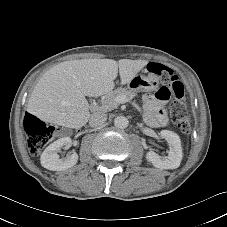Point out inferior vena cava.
Returning a JSON list of instances; mask_svg holds the SVG:
<instances>
[{"mask_svg":"<svg viewBox=\"0 0 227 227\" xmlns=\"http://www.w3.org/2000/svg\"><path fill=\"white\" fill-rule=\"evenodd\" d=\"M107 120V114L104 112H96L91 115L89 124L91 127L102 126Z\"/></svg>","mask_w":227,"mask_h":227,"instance_id":"602c4592","label":"inferior vena cava"}]
</instances>
